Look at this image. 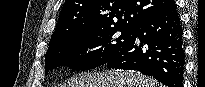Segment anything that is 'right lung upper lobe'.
<instances>
[{"mask_svg":"<svg viewBox=\"0 0 205 87\" xmlns=\"http://www.w3.org/2000/svg\"><path fill=\"white\" fill-rule=\"evenodd\" d=\"M173 0H66L50 44L74 33L106 28L135 29Z\"/></svg>","mask_w":205,"mask_h":87,"instance_id":"1","label":"right lung upper lobe"}]
</instances>
